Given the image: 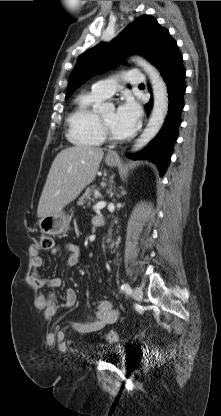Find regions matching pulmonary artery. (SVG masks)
<instances>
[{
    "mask_svg": "<svg viewBox=\"0 0 221 416\" xmlns=\"http://www.w3.org/2000/svg\"><path fill=\"white\" fill-rule=\"evenodd\" d=\"M124 80L132 85H138L145 81V76L139 69H129L124 72ZM121 82L116 78L101 80L93 84L92 91L103 98H108L115 93Z\"/></svg>",
    "mask_w": 221,
    "mask_h": 416,
    "instance_id": "1",
    "label": "pulmonary artery"
}]
</instances>
